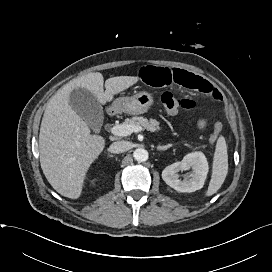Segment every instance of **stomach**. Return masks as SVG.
<instances>
[{
	"label": "stomach",
	"mask_w": 272,
	"mask_h": 272,
	"mask_svg": "<svg viewBox=\"0 0 272 272\" xmlns=\"http://www.w3.org/2000/svg\"><path fill=\"white\" fill-rule=\"evenodd\" d=\"M154 104V98L149 92H139L132 97H120L113 102V109L131 115L146 113Z\"/></svg>",
	"instance_id": "1"
}]
</instances>
